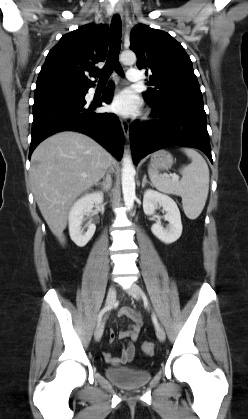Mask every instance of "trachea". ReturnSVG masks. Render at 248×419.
<instances>
[{"mask_svg": "<svg viewBox=\"0 0 248 419\" xmlns=\"http://www.w3.org/2000/svg\"><path fill=\"white\" fill-rule=\"evenodd\" d=\"M121 31L122 25L119 15H115L111 22L110 45L107 61L104 67L95 73L99 78V82H107L113 70L123 75V70L119 64L118 57L121 48Z\"/></svg>", "mask_w": 248, "mask_h": 419, "instance_id": "trachea-1", "label": "trachea"}]
</instances>
